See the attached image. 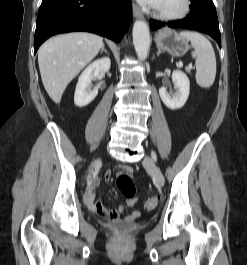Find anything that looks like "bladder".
I'll return each mask as SVG.
<instances>
[{
	"instance_id": "1",
	"label": "bladder",
	"mask_w": 247,
	"mask_h": 265,
	"mask_svg": "<svg viewBox=\"0 0 247 265\" xmlns=\"http://www.w3.org/2000/svg\"><path fill=\"white\" fill-rule=\"evenodd\" d=\"M106 227L113 233L123 234L139 230L141 228V225L136 222L116 221L107 224Z\"/></svg>"
}]
</instances>
